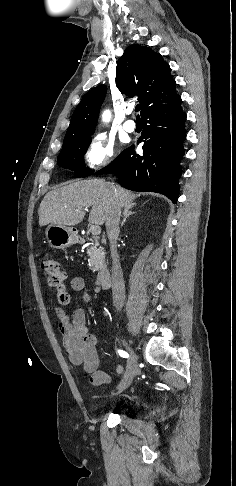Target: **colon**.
<instances>
[{
	"label": "colon",
	"instance_id": "obj_1",
	"mask_svg": "<svg viewBox=\"0 0 236 486\" xmlns=\"http://www.w3.org/2000/svg\"><path fill=\"white\" fill-rule=\"evenodd\" d=\"M41 268L48 284L56 290L59 302L62 304L68 303L70 296L64 285L66 275L58 261L50 256H44L41 260Z\"/></svg>",
	"mask_w": 236,
	"mask_h": 486
}]
</instances>
